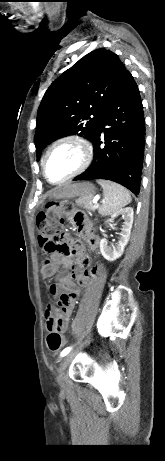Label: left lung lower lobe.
Here are the masks:
<instances>
[{
    "label": "left lung lower lobe",
    "mask_w": 165,
    "mask_h": 461,
    "mask_svg": "<svg viewBox=\"0 0 165 461\" xmlns=\"http://www.w3.org/2000/svg\"><path fill=\"white\" fill-rule=\"evenodd\" d=\"M144 136L145 121L139 89L133 76L127 71L92 139L93 163L74 180L107 179L125 186L136 195L139 194ZM102 143L105 144L104 147L101 146Z\"/></svg>",
    "instance_id": "0a47b994"
}]
</instances>
